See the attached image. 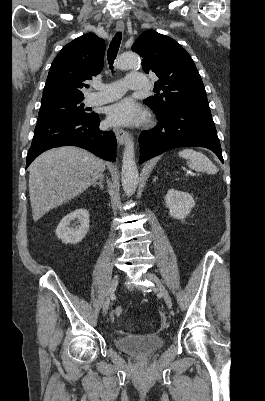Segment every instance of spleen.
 <instances>
[{"label": "spleen", "mask_w": 265, "mask_h": 401, "mask_svg": "<svg viewBox=\"0 0 265 401\" xmlns=\"http://www.w3.org/2000/svg\"><path fill=\"white\" fill-rule=\"evenodd\" d=\"M178 156L182 158H187V164L189 168L197 170V172H208V174H216L217 166L211 162L210 158L198 150H193V148H183L178 152Z\"/></svg>", "instance_id": "obj_1"}]
</instances>
